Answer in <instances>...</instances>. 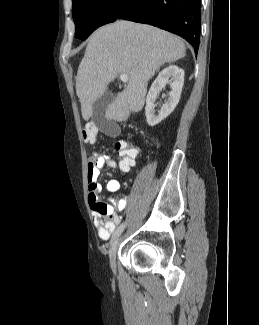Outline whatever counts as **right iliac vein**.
Segmentation results:
<instances>
[{"instance_id": "63e3f726", "label": "right iliac vein", "mask_w": 259, "mask_h": 325, "mask_svg": "<svg viewBox=\"0 0 259 325\" xmlns=\"http://www.w3.org/2000/svg\"><path fill=\"white\" fill-rule=\"evenodd\" d=\"M119 243H120V237L118 236L111 242V245L109 248L110 266H111V269L113 270V272L116 271L115 259H116V253H117Z\"/></svg>"}]
</instances>
